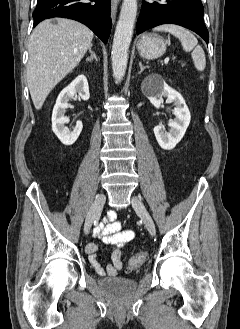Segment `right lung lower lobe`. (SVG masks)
Here are the masks:
<instances>
[{
    "label": "right lung lower lobe",
    "instance_id": "1",
    "mask_svg": "<svg viewBox=\"0 0 240 329\" xmlns=\"http://www.w3.org/2000/svg\"><path fill=\"white\" fill-rule=\"evenodd\" d=\"M38 0L33 13L34 26L45 19L69 18L88 26L104 43H107L112 22L110 19L111 0Z\"/></svg>",
    "mask_w": 240,
    "mask_h": 329
}]
</instances>
